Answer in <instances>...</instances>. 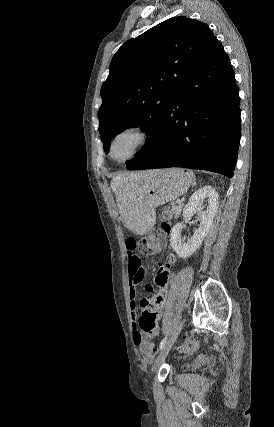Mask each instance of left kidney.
<instances>
[{"mask_svg": "<svg viewBox=\"0 0 274 427\" xmlns=\"http://www.w3.org/2000/svg\"><path fill=\"white\" fill-rule=\"evenodd\" d=\"M205 200L208 204L207 206H202ZM218 206V194L212 186L200 188V190H197V192L191 196L188 204H186L183 210V217H191V215L197 212V219H199L200 223L198 229H194V235H192L190 239H187V241L181 239L183 223H175L174 227H172L170 243L179 257L186 259V257L192 255V253L200 247L205 235H207L211 229L212 221L218 212Z\"/></svg>", "mask_w": 274, "mask_h": 427, "instance_id": "1", "label": "left kidney"}]
</instances>
